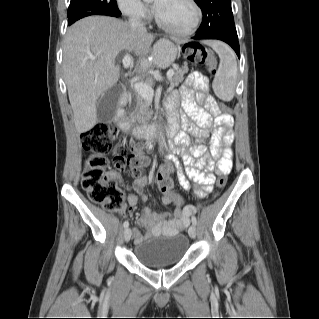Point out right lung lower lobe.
I'll return each instance as SVG.
<instances>
[{"label":"right lung lower lobe","mask_w":319,"mask_h":319,"mask_svg":"<svg viewBox=\"0 0 319 319\" xmlns=\"http://www.w3.org/2000/svg\"><path fill=\"white\" fill-rule=\"evenodd\" d=\"M121 15V13L119 12V13H116V14H114V15H110V16H113V17H119Z\"/></svg>","instance_id":"1"}]
</instances>
